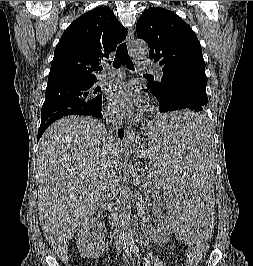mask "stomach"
Segmentation results:
<instances>
[{"label": "stomach", "instance_id": "1", "mask_svg": "<svg viewBox=\"0 0 253 266\" xmlns=\"http://www.w3.org/2000/svg\"><path fill=\"white\" fill-rule=\"evenodd\" d=\"M156 139L157 136H155V133H151L149 134L148 143H143L142 141H136L135 143L131 144L130 148L139 157L152 160L151 151H152V146L156 145Z\"/></svg>", "mask_w": 253, "mask_h": 266}]
</instances>
